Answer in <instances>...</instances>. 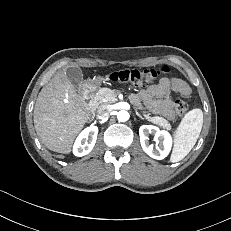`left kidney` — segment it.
I'll use <instances>...</instances> for the list:
<instances>
[{"instance_id":"left-kidney-1","label":"left kidney","mask_w":231,"mask_h":231,"mask_svg":"<svg viewBox=\"0 0 231 231\" xmlns=\"http://www.w3.org/2000/svg\"><path fill=\"white\" fill-rule=\"evenodd\" d=\"M154 134L155 148L149 144L148 136ZM140 143L143 151L150 157L162 160L168 156L172 147V137L169 132L160 130L153 125H142L139 128Z\"/></svg>"}]
</instances>
